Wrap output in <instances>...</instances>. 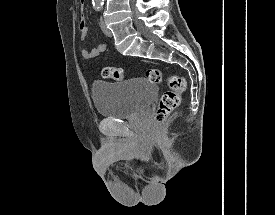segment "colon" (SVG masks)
<instances>
[{
    "mask_svg": "<svg viewBox=\"0 0 275 215\" xmlns=\"http://www.w3.org/2000/svg\"><path fill=\"white\" fill-rule=\"evenodd\" d=\"M102 74L105 78L113 81H121L124 78L123 69L115 66L103 68ZM147 78L153 83H160L164 78L167 84V90L161 95L154 115L155 121L161 123L179 104L181 94L186 90V81L182 76L176 74L164 76L163 71L158 68L149 69L147 71Z\"/></svg>",
    "mask_w": 275,
    "mask_h": 215,
    "instance_id": "5ec220e1",
    "label": "colon"
}]
</instances>
